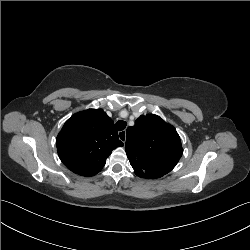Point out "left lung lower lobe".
<instances>
[{
    "instance_id": "left-lung-lower-lobe-1",
    "label": "left lung lower lobe",
    "mask_w": 250,
    "mask_h": 250,
    "mask_svg": "<svg viewBox=\"0 0 250 250\" xmlns=\"http://www.w3.org/2000/svg\"><path fill=\"white\" fill-rule=\"evenodd\" d=\"M145 177L144 178H151V179H155V178H159L161 176H159L158 173L152 171V170H149L148 168L145 170V173H144Z\"/></svg>"
}]
</instances>
